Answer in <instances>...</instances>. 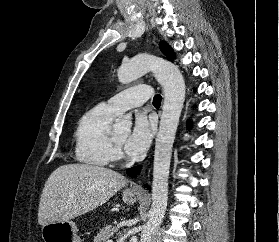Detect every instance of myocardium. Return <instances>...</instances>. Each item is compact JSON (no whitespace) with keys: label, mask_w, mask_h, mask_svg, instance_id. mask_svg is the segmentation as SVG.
I'll return each instance as SVG.
<instances>
[{"label":"myocardium","mask_w":279,"mask_h":242,"mask_svg":"<svg viewBox=\"0 0 279 242\" xmlns=\"http://www.w3.org/2000/svg\"><path fill=\"white\" fill-rule=\"evenodd\" d=\"M111 140H112V143H113L115 149L118 150V151H121L123 145L120 144V143H118V142L115 140L114 136H111Z\"/></svg>","instance_id":"1"}]
</instances>
